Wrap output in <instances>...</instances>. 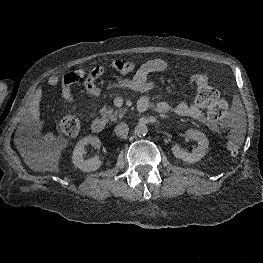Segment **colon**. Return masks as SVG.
Instances as JSON below:
<instances>
[{"instance_id": "colon-1", "label": "colon", "mask_w": 263, "mask_h": 263, "mask_svg": "<svg viewBox=\"0 0 263 263\" xmlns=\"http://www.w3.org/2000/svg\"><path fill=\"white\" fill-rule=\"evenodd\" d=\"M119 70L127 69L121 63H115ZM190 81L197 88V100L207 109L208 116L215 120H226L229 117V109L226 101L220 98L219 93L209 84L206 74L196 73ZM61 131L70 137L76 136L80 131V122L73 115H65L60 121ZM242 144V134L238 130H231L226 136L225 146L230 153H237Z\"/></svg>"}]
</instances>
